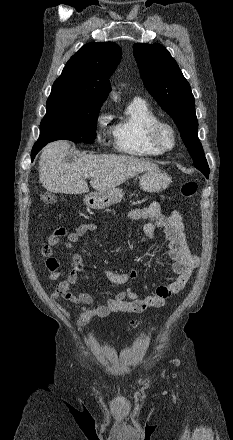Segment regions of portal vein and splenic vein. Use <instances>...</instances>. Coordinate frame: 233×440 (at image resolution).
Here are the masks:
<instances>
[{"mask_svg":"<svg viewBox=\"0 0 233 440\" xmlns=\"http://www.w3.org/2000/svg\"><path fill=\"white\" fill-rule=\"evenodd\" d=\"M87 177L89 176V177H91L92 175L91 174H88V175H86Z\"/></svg>","mask_w":233,"mask_h":440,"instance_id":"18ae733b","label":"portal vein and splenic vein"}]
</instances>
